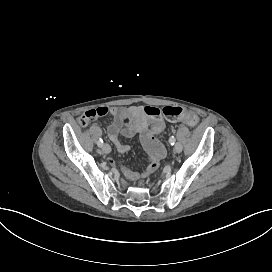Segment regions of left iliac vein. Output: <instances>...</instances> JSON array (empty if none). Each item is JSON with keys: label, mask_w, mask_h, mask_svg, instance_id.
Here are the masks:
<instances>
[{"label": "left iliac vein", "mask_w": 272, "mask_h": 272, "mask_svg": "<svg viewBox=\"0 0 272 272\" xmlns=\"http://www.w3.org/2000/svg\"><path fill=\"white\" fill-rule=\"evenodd\" d=\"M174 151L176 153H180L182 151V145L180 143H176L174 147Z\"/></svg>", "instance_id": "1"}]
</instances>
